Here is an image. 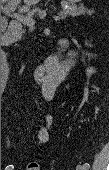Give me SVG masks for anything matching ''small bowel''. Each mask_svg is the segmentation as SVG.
I'll list each match as a JSON object with an SVG mask.
<instances>
[{"label": "small bowel", "instance_id": "c3829d8e", "mask_svg": "<svg viewBox=\"0 0 109 170\" xmlns=\"http://www.w3.org/2000/svg\"><path fill=\"white\" fill-rule=\"evenodd\" d=\"M45 96L47 98L51 96V92L49 89L45 90ZM51 123H52V117L50 115H48L47 122H46L45 126H43L37 134L36 141L38 144H44L48 141Z\"/></svg>", "mask_w": 109, "mask_h": 170}]
</instances>
